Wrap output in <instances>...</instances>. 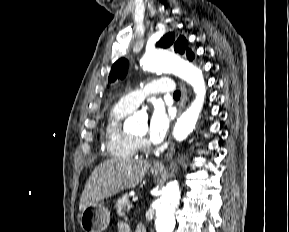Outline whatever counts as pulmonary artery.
I'll list each match as a JSON object with an SVG mask.
<instances>
[{
    "label": "pulmonary artery",
    "mask_w": 289,
    "mask_h": 232,
    "mask_svg": "<svg viewBox=\"0 0 289 232\" xmlns=\"http://www.w3.org/2000/svg\"><path fill=\"white\" fill-rule=\"evenodd\" d=\"M172 92H174L173 81L169 78H160L152 80L143 89L126 94L120 99V102L128 109L134 110L149 94Z\"/></svg>",
    "instance_id": "pulmonary-artery-1"
}]
</instances>
